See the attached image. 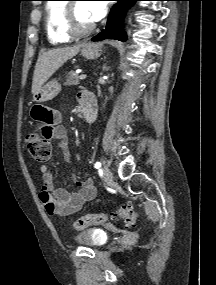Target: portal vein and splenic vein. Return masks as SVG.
I'll return each instance as SVG.
<instances>
[{
	"label": "portal vein and splenic vein",
	"instance_id": "1",
	"mask_svg": "<svg viewBox=\"0 0 216 285\" xmlns=\"http://www.w3.org/2000/svg\"><path fill=\"white\" fill-rule=\"evenodd\" d=\"M86 77H87V75H86V74H82V75H80V77H79V78H80L81 80H84V79H86Z\"/></svg>",
	"mask_w": 216,
	"mask_h": 285
}]
</instances>
